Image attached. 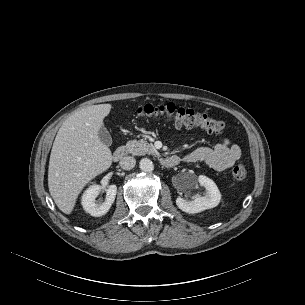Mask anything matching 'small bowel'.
I'll list each match as a JSON object with an SVG mask.
<instances>
[{
	"instance_id": "small-bowel-1",
	"label": "small bowel",
	"mask_w": 305,
	"mask_h": 305,
	"mask_svg": "<svg viewBox=\"0 0 305 305\" xmlns=\"http://www.w3.org/2000/svg\"><path fill=\"white\" fill-rule=\"evenodd\" d=\"M241 157V149L237 144L224 138L214 148L200 147L184 157L185 162L200 163L216 171H224L232 167Z\"/></svg>"
}]
</instances>
